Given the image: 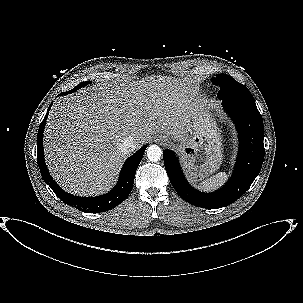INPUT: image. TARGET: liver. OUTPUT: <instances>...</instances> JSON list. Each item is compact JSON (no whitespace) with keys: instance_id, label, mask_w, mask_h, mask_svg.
I'll return each mask as SVG.
<instances>
[{"instance_id":"liver-1","label":"liver","mask_w":303,"mask_h":303,"mask_svg":"<svg viewBox=\"0 0 303 303\" xmlns=\"http://www.w3.org/2000/svg\"><path fill=\"white\" fill-rule=\"evenodd\" d=\"M195 96L187 79L153 75L120 84L102 81L60 98L44 133L53 178L81 196L108 191L126 159L121 141L131 136L138 149L157 133L184 139L202 107Z\"/></svg>"}]
</instances>
